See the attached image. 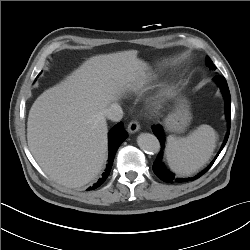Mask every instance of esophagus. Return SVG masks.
Instances as JSON below:
<instances>
[{"label": "esophagus", "instance_id": "34e87169", "mask_svg": "<svg viewBox=\"0 0 250 250\" xmlns=\"http://www.w3.org/2000/svg\"><path fill=\"white\" fill-rule=\"evenodd\" d=\"M139 130H140V125L137 121L133 120L128 124L129 133H136Z\"/></svg>", "mask_w": 250, "mask_h": 250}]
</instances>
